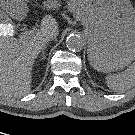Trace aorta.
Returning a JSON list of instances; mask_svg holds the SVG:
<instances>
[{"label":"aorta","instance_id":"1","mask_svg":"<svg viewBox=\"0 0 135 135\" xmlns=\"http://www.w3.org/2000/svg\"><path fill=\"white\" fill-rule=\"evenodd\" d=\"M84 37L81 34H70L66 39V46L72 51H81L84 47Z\"/></svg>","mask_w":135,"mask_h":135}]
</instances>
